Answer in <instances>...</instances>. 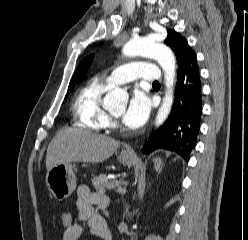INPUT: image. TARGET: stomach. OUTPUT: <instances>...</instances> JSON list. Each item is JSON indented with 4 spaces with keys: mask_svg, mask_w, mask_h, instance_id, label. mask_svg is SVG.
Instances as JSON below:
<instances>
[{
    "mask_svg": "<svg viewBox=\"0 0 248 240\" xmlns=\"http://www.w3.org/2000/svg\"><path fill=\"white\" fill-rule=\"evenodd\" d=\"M120 162L124 165L131 166L135 160L133 154H120ZM74 165L57 164L51 167L46 174V184L53 196L62 201L68 198L76 188V176Z\"/></svg>",
    "mask_w": 248,
    "mask_h": 240,
    "instance_id": "1",
    "label": "stomach"
}]
</instances>
